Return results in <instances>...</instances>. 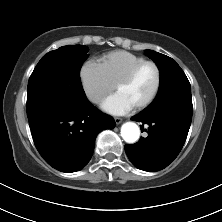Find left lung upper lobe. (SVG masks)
<instances>
[{
	"label": "left lung upper lobe",
	"instance_id": "obj_1",
	"mask_svg": "<svg viewBox=\"0 0 222 222\" xmlns=\"http://www.w3.org/2000/svg\"><path fill=\"white\" fill-rule=\"evenodd\" d=\"M146 53L160 71V87L153 102L174 95L191 97L190 83L175 60L152 50H146Z\"/></svg>",
	"mask_w": 222,
	"mask_h": 222
}]
</instances>
